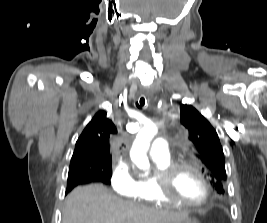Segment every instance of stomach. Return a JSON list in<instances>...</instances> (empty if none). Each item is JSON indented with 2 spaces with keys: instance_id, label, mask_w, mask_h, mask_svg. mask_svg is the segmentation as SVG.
<instances>
[{
  "instance_id": "0dacf381",
  "label": "stomach",
  "mask_w": 267,
  "mask_h": 223,
  "mask_svg": "<svg viewBox=\"0 0 267 223\" xmlns=\"http://www.w3.org/2000/svg\"><path fill=\"white\" fill-rule=\"evenodd\" d=\"M172 223H197V221L196 220H192L189 217H187L184 220H178V221H174Z\"/></svg>"
}]
</instances>
